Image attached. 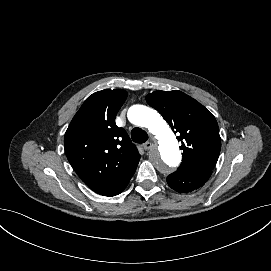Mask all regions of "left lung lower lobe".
Returning a JSON list of instances; mask_svg holds the SVG:
<instances>
[{
	"instance_id": "1",
	"label": "left lung lower lobe",
	"mask_w": 271,
	"mask_h": 271,
	"mask_svg": "<svg viewBox=\"0 0 271 271\" xmlns=\"http://www.w3.org/2000/svg\"><path fill=\"white\" fill-rule=\"evenodd\" d=\"M212 172L206 173H189L183 171H175L168 175V185L179 193H189L202 187L210 178Z\"/></svg>"
}]
</instances>
